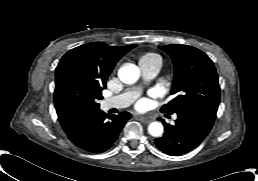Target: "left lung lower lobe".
Returning <instances> with one entry per match:
<instances>
[{
	"instance_id": "1",
	"label": "left lung lower lobe",
	"mask_w": 258,
	"mask_h": 181,
	"mask_svg": "<svg viewBox=\"0 0 258 181\" xmlns=\"http://www.w3.org/2000/svg\"><path fill=\"white\" fill-rule=\"evenodd\" d=\"M216 110L197 108L177 113L174 126L164 121L165 133L155 139V145L165 154L179 156L196 148L210 132Z\"/></svg>"
}]
</instances>
